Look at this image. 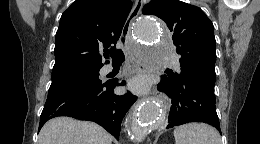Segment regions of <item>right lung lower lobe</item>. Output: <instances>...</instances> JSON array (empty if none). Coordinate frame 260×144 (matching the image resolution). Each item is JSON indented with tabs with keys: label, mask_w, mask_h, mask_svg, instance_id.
<instances>
[{
	"label": "right lung lower lobe",
	"mask_w": 260,
	"mask_h": 144,
	"mask_svg": "<svg viewBox=\"0 0 260 144\" xmlns=\"http://www.w3.org/2000/svg\"><path fill=\"white\" fill-rule=\"evenodd\" d=\"M124 84L109 80L94 84L69 83L49 88L39 130L51 118L69 116L93 121L119 140L122 119L137 100L130 92L122 96L114 94L113 89Z\"/></svg>",
	"instance_id": "1"
}]
</instances>
